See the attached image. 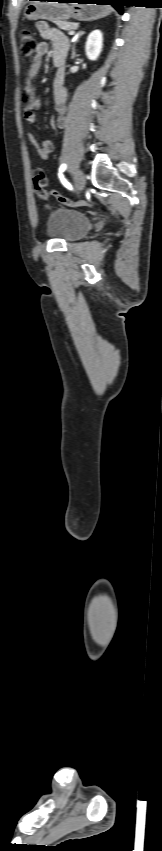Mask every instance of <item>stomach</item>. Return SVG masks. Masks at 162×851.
I'll use <instances>...</instances> for the list:
<instances>
[{
  "label": "stomach",
  "mask_w": 162,
  "mask_h": 851,
  "mask_svg": "<svg viewBox=\"0 0 162 851\" xmlns=\"http://www.w3.org/2000/svg\"><path fill=\"white\" fill-rule=\"evenodd\" d=\"M67 2L76 3H49L31 2L24 10V16L28 20L45 19L49 21H61L74 18L78 21H92L107 16L109 7L84 3L83 0Z\"/></svg>",
  "instance_id": "0dacf381"
}]
</instances>
